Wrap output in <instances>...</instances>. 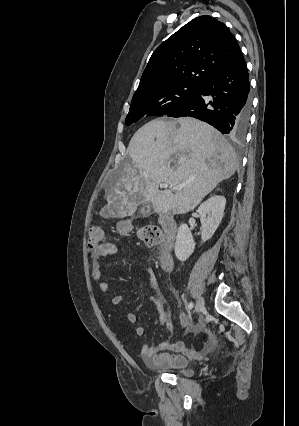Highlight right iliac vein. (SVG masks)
Listing matches in <instances>:
<instances>
[{
  "mask_svg": "<svg viewBox=\"0 0 299 426\" xmlns=\"http://www.w3.org/2000/svg\"><path fill=\"white\" fill-rule=\"evenodd\" d=\"M203 309H204V299H203V297H199L196 301L195 312L199 313Z\"/></svg>",
  "mask_w": 299,
  "mask_h": 426,
  "instance_id": "1",
  "label": "right iliac vein"
}]
</instances>
